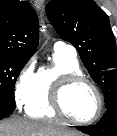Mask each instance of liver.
<instances>
[{"mask_svg":"<svg viewBox=\"0 0 117 136\" xmlns=\"http://www.w3.org/2000/svg\"><path fill=\"white\" fill-rule=\"evenodd\" d=\"M0 136H83L52 122L13 117L0 122Z\"/></svg>","mask_w":117,"mask_h":136,"instance_id":"obj_1","label":"liver"}]
</instances>
